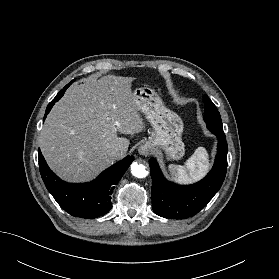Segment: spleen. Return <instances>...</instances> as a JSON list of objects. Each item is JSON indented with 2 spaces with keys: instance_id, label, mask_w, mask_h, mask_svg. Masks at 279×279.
Returning <instances> with one entry per match:
<instances>
[{
  "instance_id": "3e777b00",
  "label": "spleen",
  "mask_w": 279,
  "mask_h": 279,
  "mask_svg": "<svg viewBox=\"0 0 279 279\" xmlns=\"http://www.w3.org/2000/svg\"><path fill=\"white\" fill-rule=\"evenodd\" d=\"M208 168V154L203 147L197 148L185 165H169L172 177L180 182H189L198 176L204 175Z\"/></svg>"
}]
</instances>
